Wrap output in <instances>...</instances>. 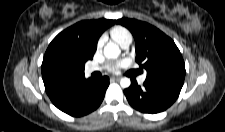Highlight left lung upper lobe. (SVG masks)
<instances>
[{"label":"left lung upper lobe","instance_id":"obj_1","mask_svg":"<svg viewBox=\"0 0 225 132\" xmlns=\"http://www.w3.org/2000/svg\"><path fill=\"white\" fill-rule=\"evenodd\" d=\"M128 28L136 44V62L146 69L147 78L183 84L185 64L174 41L156 27L135 19L116 20Z\"/></svg>","mask_w":225,"mask_h":132}]
</instances>
